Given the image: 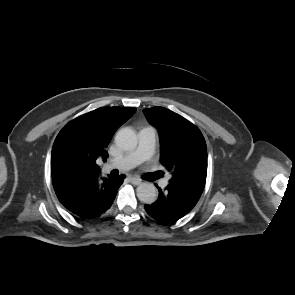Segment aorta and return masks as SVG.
Masks as SVG:
<instances>
[{"label":"aorta","instance_id":"762f6f07","mask_svg":"<svg viewBox=\"0 0 295 295\" xmlns=\"http://www.w3.org/2000/svg\"><path fill=\"white\" fill-rule=\"evenodd\" d=\"M115 143L123 150H133L138 143L137 135L131 128H122L115 136ZM136 193L138 199L145 204H152L157 200L156 187L150 182L139 184Z\"/></svg>","mask_w":295,"mask_h":295}]
</instances>
